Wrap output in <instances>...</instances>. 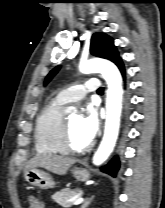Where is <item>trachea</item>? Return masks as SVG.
<instances>
[{
    "mask_svg": "<svg viewBox=\"0 0 165 208\" xmlns=\"http://www.w3.org/2000/svg\"><path fill=\"white\" fill-rule=\"evenodd\" d=\"M104 89L103 87H100L99 90L97 91L98 93H103Z\"/></svg>",
    "mask_w": 165,
    "mask_h": 208,
    "instance_id": "trachea-1",
    "label": "trachea"
}]
</instances>
